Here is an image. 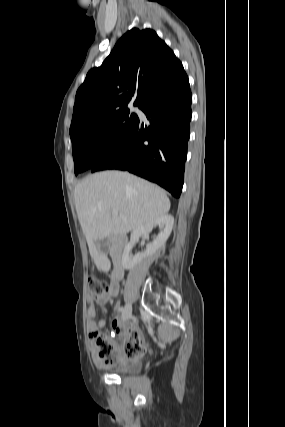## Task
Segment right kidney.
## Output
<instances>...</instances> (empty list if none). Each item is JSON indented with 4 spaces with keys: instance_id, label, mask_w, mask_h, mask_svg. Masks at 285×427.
<instances>
[{
    "instance_id": "right-kidney-1",
    "label": "right kidney",
    "mask_w": 285,
    "mask_h": 427,
    "mask_svg": "<svg viewBox=\"0 0 285 427\" xmlns=\"http://www.w3.org/2000/svg\"><path fill=\"white\" fill-rule=\"evenodd\" d=\"M174 224V218L170 214H164L159 216L143 227L134 230L131 233L130 242L125 246L122 254V266L124 269L129 270L136 266L142 258L152 257L164 244L166 243L168 237L172 232ZM156 226L160 228V233L156 238L153 239L151 243L146 246V251L144 253H138L134 256L131 255V250L135 243L142 235L149 234Z\"/></svg>"
}]
</instances>
